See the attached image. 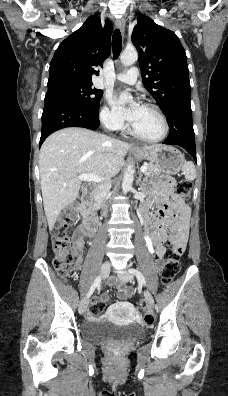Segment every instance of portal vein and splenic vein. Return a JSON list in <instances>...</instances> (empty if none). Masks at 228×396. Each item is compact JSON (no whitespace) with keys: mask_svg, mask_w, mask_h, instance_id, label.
Instances as JSON below:
<instances>
[{"mask_svg":"<svg viewBox=\"0 0 228 396\" xmlns=\"http://www.w3.org/2000/svg\"><path fill=\"white\" fill-rule=\"evenodd\" d=\"M141 172H145L147 170V167L145 165L141 166L140 168ZM78 179L81 181H87V182H94V183H98L101 182L103 180V178L95 175V174H80L78 176Z\"/></svg>","mask_w":228,"mask_h":396,"instance_id":"1","label":"portal vein and splenic vein"}]
</instances>
